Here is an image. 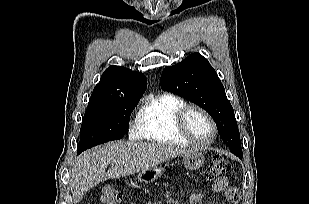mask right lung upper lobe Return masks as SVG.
<instances>
[{
	"mask_svg": "<svg viewBox=\"0 0 309 204\" xmlns=\"http://www.w3.org/2000/svg\"><path fill=\"white\" fill-rule=\"evenodd\" d=\"M146 87L147 79L141 72L122 66H110L94 88L89 104L116 99H140Z\"/></svg>",
	"mask_w": 309,
	"mask_h": 204,
	"instance_id": "right-lung-upper-lobe-1",
	"label": "right lung upper lobe"
}]
</instances>
